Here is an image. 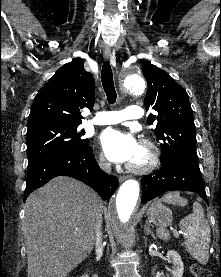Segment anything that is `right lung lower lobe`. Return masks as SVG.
<instances>
[{"label": "right lung lower lobe", "mask_w": 221, "mask_h": 277, "mask_svg": "<svg viewBox=\"0 0 221 277\" xmlns=\"http://www.w3.org/2000/svg\"><path fill=\"white\" fill-rule=\"evenodd\" d=\"M69 176L93 188L102 199H109L118 187L116 177L102 172L87 145L68 154L45 159L29 167L24 200L35 189L43 186L56 176Z\"/></svg>", "instance_id": "1"}]
</instances>
